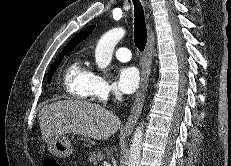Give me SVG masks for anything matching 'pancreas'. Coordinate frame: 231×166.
<instances>
[{
	"instance_id": "pancreas-1",
	"label": "pancreas",
	"mask_w": 231,
	"mask_h": 166,
	"mask_svg": "<svg viewBox=\"0 0 231 166\" xmlns=\"http://www.w3.org/2000/svg\"><path fill=\"white\" fill-rule=\"evenodd\" d=\"M105 158V155L98 151V152H91L88 158V162L89 164L93 165V166H97L98 163H100L101 161H103Z\"/></svg>"
}]
</instances>
